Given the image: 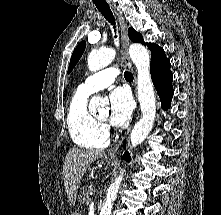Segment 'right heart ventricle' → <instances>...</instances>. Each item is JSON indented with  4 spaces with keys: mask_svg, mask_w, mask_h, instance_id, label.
I'll return each instance as SVG.
<instances>
[{
    "mask_svg": "<svg viewBox=\"0 0 221 215\" xmlns=\"http://www.w3.org/2000/svg\"><path fill=\"white\" fill-rule=\"evenodd\" d=\"M89 95L76 90L67 109V128L75 145L86 149H101L107 145L108 136L102 124L88 111Z\"/></svg>",
    "mask_w": 221,
    "mask_h": 215,
    "instance_id": "1",
    "label": "right heart ventricle"
}]
</instances>
